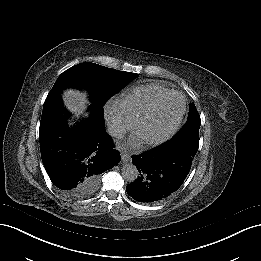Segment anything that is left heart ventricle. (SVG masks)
Listing matches in <instances>:
<instances>
[{
    "label": "left heart ventricle",
    "instance_id": "left-heart-ventricle-1",
    "mask_svg": "<svg viewBox=\"0 0 261 261\" xmlns=\"http://www.w3.org/2000/svg\"><path fill=\"white\" fill-rule=\"evenodd\" d=\"M182 99L176 97L169 101L164 108L146 116L138 129L142 137H156L167 131L178 119L182 110Z\"/></svg>",
    "mask_w": 261,
    "mask_h": 261
}]
</instances>
